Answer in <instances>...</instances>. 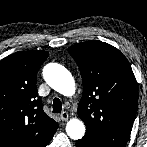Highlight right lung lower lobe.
<instances>
[{
	"mask_svg": "<svg viewBox=\"0 0 147 147\" xmlns=\"http://www.w3.org/2000/svg\"><path fill=\"white\" fill-rule=\"evenodd\" d=\"M49 142H50V141H49ZM49 142H48V143H49ZM48 143H47V144H45L43 147H46V146L48 145Z\"/></svg>",
	"mask_w": 147,
	"mask_h": 147,
	"instance_id": "obj_1",
	"label": "right lung lower lobe"
}]
</instances>
